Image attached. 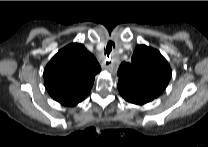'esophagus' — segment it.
<instances>
[{
  "label": "esophagus",
  "mask_w": 208,
  "mask_h": 147,
  "mask_svg": "<svg viewBox=\"0 0 208 147\" xmlns=\"http://www.w3.org/2000/svg\"><path fill=\"white\" fill-rule=\"evenodd\" d=\"M103 68L110 72H113L114 71L113 61L109 58H106L103 62Z\"/></svg>",
  "instance_id": "obj_1"
}]
</instances>
